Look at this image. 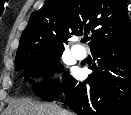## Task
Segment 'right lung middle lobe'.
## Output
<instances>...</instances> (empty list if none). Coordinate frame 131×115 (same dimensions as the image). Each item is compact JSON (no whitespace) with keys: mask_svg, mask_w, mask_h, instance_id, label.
Masks as SVG:
<instances>
[{"mask_svg":"<svg viewBox=\"0 0 131 115\" xmlns=\"http://www.w3.org/2000/svg\"><path fill=\"white\" fill-rule=\"evenodd\" d=\"M63 52H35L30 53L15 62V70H25L21 77H25L26 80L29 76L44 78H50L53 70L62 71L63 66L58 61ZM72 76L68 72L63 73L62 86L56 81L51 86L52 79H48L46 82H41L33 86L34 93L42 99H54L60 95L61 90L71 79Z\"/></svg>","mask_w":131,"mask_h":115,"instance_id":"obj_1","label":"right lung middle lobe"}]
</instances>
